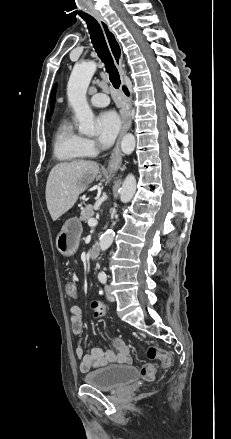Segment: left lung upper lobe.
<instances>
[{
	"instance_id": "obj_1",
	"label": "left lung upper lobe",
	"mask_w": 231,
	"mask_h": 439,
	"mask_svg": "<svg viewBox=\"0 0 231 439\" xmlns=\"http://www.w3.org/2000/svg\"><path fill=\"white\" fill-rule=\"evenodd\" d=\"M54 96H55V89L52 92V96H51V103H54Z\"/></svg>"
}]
</instances>
